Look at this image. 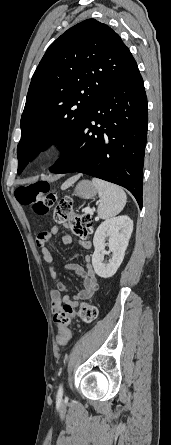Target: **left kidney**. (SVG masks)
Instances as JSON below:
<instances>
[{
    "label": "left kidney",
    "instance_id": "1",
    "mask_svg": "<svg viewBox=\"0 0 171 445\" xmlns=\"http://www.w3.org/2000/svg\"><path fill=\"white\" fill-rule=\"evenodd\" d=\"M132 231L133 221L128 216L110 218L99 225L93 238L95 251L92 255V265L98 276L109 278L116 273L124 259ZM106 238L112 252L108 263L103 262Z\"/></svg>",
    "mask_w": 171,
    "mask_h": 445
}]
</instances>
